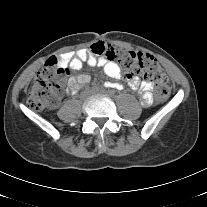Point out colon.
Wrapping results in <instances>:
<instances>
[{"mask_svg":"<svg viewBox=\"0 0 207 207\" xmlns=\"http://www.w3.org/2000/svg\"><path fill=\"white\" fill-rule=\"evenodd\" d=\"M92 50L120 65L125 78L142 77L149 84H157L156 102L161 103L170 93L168 77L158 61L150 54L101 43ZM71 72L60 66L57 57L49 58L35 77L28 95V105L34 110L54 107L59 100L61 78Z\"/></svg>","mask_w":207,"mask_h":207,"instance_id":"obj_1","label":"colon"}]
</instances>
